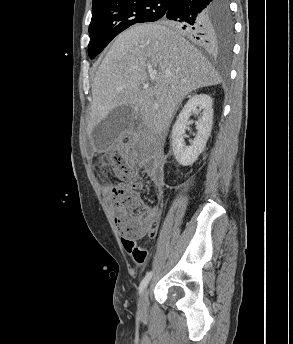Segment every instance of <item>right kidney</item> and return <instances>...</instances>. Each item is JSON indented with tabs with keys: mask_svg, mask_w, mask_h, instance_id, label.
<instances>
[{
	"mask_svg": "<svg viewBox=\"0 0 293 344\" xmlns=\"http://www.w3.org/2000/svg\"><path fill=\"white\" fill-rule=\"evenodd\" d=\"M192 114L200 115L196 121L197 134L191 145L187 146L184 134ZM213 124L212 98L207 94L192 96L182 108L172 128V150L177 162L182 166H190L203 152L211 134Z\"/></svg>",
	"mask_w": 293,
	"mask_h": 344,
	"instance_id": "ca27d5eb",
	"label": "right kidney"
}]
</instances>
